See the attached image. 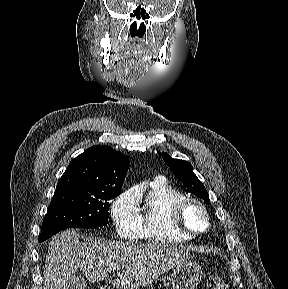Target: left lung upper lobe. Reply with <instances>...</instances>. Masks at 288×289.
<instances>
[{
	"label": "left lung upper lobe",
	"mask_w": 288,
	"mask_h": 289,
	"mask_svg": "<svg viewBox=\"0 0 288 289\" xmlns=\"http://www.w3.org/2000/svg\"><path fill=\"white\" fill-rule=\"evenodd\" d=\"M162 157L175 176L183 182V187L187 192L202 198L207 204L210 203L209 195L192 170L189 162L171 158L167 153H162Z\"/></svg>",
	"instance_id": "1"
}]
</instances>
